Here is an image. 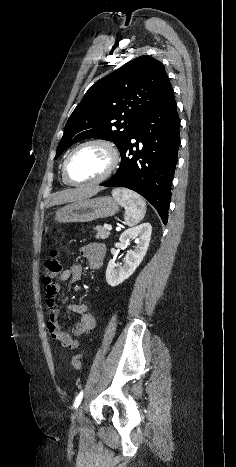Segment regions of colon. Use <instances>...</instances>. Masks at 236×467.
<instances>
[{"label":"colon","instance_id":"colon-1","mask_svg":"<svg viewBox=\"0 0 236 467\" xmlns=\"http://www.w3.org/2000/svg\"><path fill=\"white\" fill-rule=\"evenodd\" d=\"M62 270V254L58 249H52L49 257L45 261V277L44 281L46 284L51 285L53 281L58 277ZM83 354H79L73 357L72 367L79 371L82 368Z\"/></svg>","mask_w":236,"mask_h":467}]
</instances>
